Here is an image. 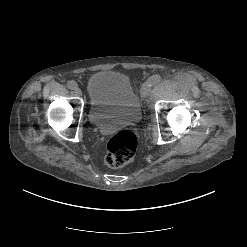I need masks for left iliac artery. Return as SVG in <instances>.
Masks as SVG:
<instances>
[{
    "mask_svg": "<svg viewBox=\"0 0 247 247\" xmlns=\"http://www.w3.org/2000/svg\"><path fill=\"white\" fill-rule=\"evenodd\" d=\"M160 81H161L160 75H153L152 77H150L147 83L149 84V86H152V85L157 84Z\"/></svg>",
    "mask_w": 247,
    "mask_h": 247,
    "instance_id": "obj_1",
    "label": "left iliac artery"
}]
</instances>
